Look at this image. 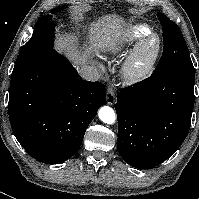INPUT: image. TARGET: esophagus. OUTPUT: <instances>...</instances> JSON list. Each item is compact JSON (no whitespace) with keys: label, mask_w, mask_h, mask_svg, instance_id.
<instances>
[{"label":"esophagus","mask_w":199,"mask_h":199,"mask_svg":"<svg viewBox=\"0 0 199 199\" xmlns=\"http://www.w3.org/2000/svg\"><path fill=\"white\" fill-rule=\"evenodd\" d=\"M107 104L114 105L116 102L115 93L113 87L108 88L106 96Z\"/></svg>","instance_id":"34e87169"}]
</instances>
